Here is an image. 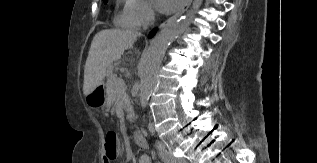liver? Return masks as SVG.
Returning a JSON list of instances; mask_svg holds the SVG:
<instances>
[{
    "label": "liver",
    "mask_w": 317,
    "mask_h": 163,
    "mask_svg": "<svg viewBox=\"0 0 317 163\" xmlns=\"http://www.w3.org/2000/svg\"><path fill=\"white\" fill-rule=\"evenodd\" d=\"M138 36V32L121 29H104L94 36L84 68L85 96L102 84L107 68L133 46Z\"/></svg>",
    "instance_id": "liver-1"
}]
</instances>
